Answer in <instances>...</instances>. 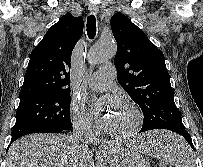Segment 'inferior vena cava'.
<instances>
[{
    "instance_id": "1",
    "label": "inferior vena cava",
    "mask_w": 203,
    "mask_h": 167,
    "mask_svg": "<svg viewBox=\"0 0 203 167\" xmlns=\"http://www.w3.org/2000/svg\"><path fill=\"white\" fill-rule=\"evenodd\" d=\"M93 136L88 122L81 121L74 124L72 139L79 150H88V144Z\"/></svg>"
}]
</instances>
